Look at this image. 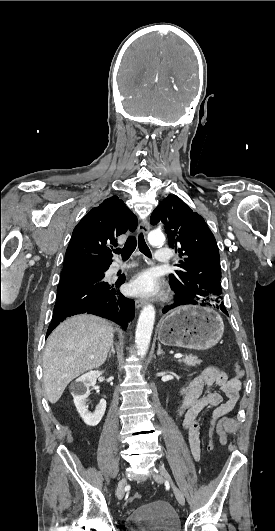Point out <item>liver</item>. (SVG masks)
Returning <instances> with one entry per match:
<instances>
[{
	"instance_id": "obj_1",
	"label": "liver",
	"mask_w": 275,
	"mask_h": 531,
	"mask_svg": "<svg viewBox=\"0 0 275 531\" xmlns=\"http://www.w3.org/2000/svg\"><path fill=\"white\" fill-rule=\"evenodd\" d=\"M113 337L112 325L94 315L70 317L54 329L43 355L45 393L52 405L73 379L105 363Z\"/></svg>"
}]
</instances>
